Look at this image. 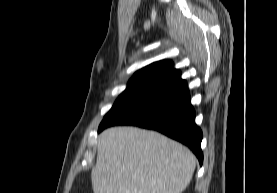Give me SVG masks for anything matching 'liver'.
Returning <instances> with one entry per match:
<instances>
[{
  "mask_svg": "<svg viewBox=\"0 0 277 193\" xmlns=\"http://www.w3.org/2000/svg\"><path fill=\"white\" fill-rule=\"evenodd\" d=\"M97 148L91 172L94 193H181L196 167L188 148L136 127L104 130Z\"/></svg>",
  "mask_w": 277,
  "mask_h": 193,
  "instance_id": "6515ba94",
  "label": "liver"
}]
</instances>
